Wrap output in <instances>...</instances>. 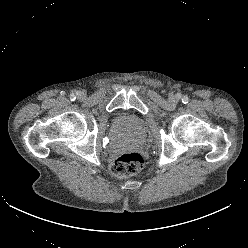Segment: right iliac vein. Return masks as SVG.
<instances>
[{
	"label": "right iliac vein",
	"mask_w": 248,
	"mask_h": 248,
	"mask_svg": "<svg viewBox=\"0 0 248 248\" xmlns=\"http://www.w3.org/2000/svg\"><path fill=\"white\" fill-rule=\"evenodd\" d=\"M79 96H80L81 98H83V97H84V94H83V93H79Z\"/></svg>",
	"instance_id": "right-iliac-vein-1"
}]
</instances>
